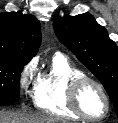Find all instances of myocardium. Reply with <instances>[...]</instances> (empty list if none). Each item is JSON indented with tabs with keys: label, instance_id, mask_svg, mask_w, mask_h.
Instances as JSON below:
<instances>
[{
	"label": "myocardium",
	"instance_id": "1",
	"mask_svg": "<svg viewBox=\"0 0 118 123\" xmlns=\"http://www.w3.org/2000/svg\"><path fill=\"white\" fill-rule=\"evenodd\" d=\"M87 84H92L98 88V90L101 92L105 104H106V109L105 112L101 116H91L88 115L82 108L81 103H80V94L82 89L85 87ZM68 102L70 108L82 119L87 120V121H99L107 117V115L110 112L111 109V102H110V97L107 93V90L103 86L102 83H100L98 80L88 77V76H81L78 78L73 79L68 86Z\"/></svg>",
	"mask_w": 118,
	"mask_h": 123
}]
</instances>
